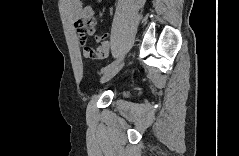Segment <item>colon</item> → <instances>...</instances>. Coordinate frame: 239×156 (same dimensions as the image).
Instances as JSON below:
<instances>
[{
  "label": "colon",
  "instance_id": "obj_1",
  "mask_svg": "<svg viewBox=\"0 0 239 156\" xmlns=\"http://www.w3.org/2000/svg\"><path fill=\"white\" fill-rule=\"evenodd\" d=\"M77 32L82 36V40L83 42H87L86 41V33H87V29H86V25L85 23H80L77 25ZM88 52H92V48L88 47L87 49Z\"/></svg>",
  "mask_w": 239,
  "mask_h": 156
}]
</instances>
